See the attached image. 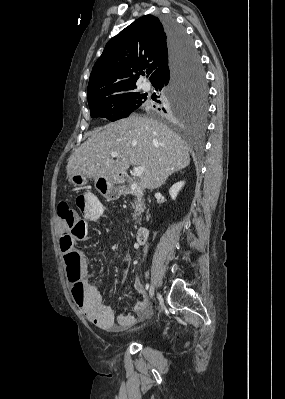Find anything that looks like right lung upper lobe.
<instances>
[{"instance_id":"obj_1","label":"right lung upper lobe","mask_w":285,"mask_h":399,"mask_svg":"<svg viewBox=\"0 0 285 399\" xmlns=\"http://www.w3.org/2000/svg\"><path fill=\"white\" fill-rule=\"evenodd\" d=\"M169 48L163 23L145 15L107 44L95 63L88 84V101L136 88L144 69L149 80L168 66Z\"/></svg>"}]
</instances>
